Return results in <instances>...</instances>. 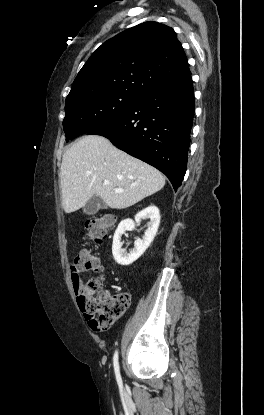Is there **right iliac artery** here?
<instances>
[{"instance_id": "82829eb1", "label": "right iliac artery", "mask_w": 264, "mask_h": 415, "mask_svg": "<svg viewBox=\"0 0 264 415\" xmlns=\"http://www.w3.org/2000/svg\"><path fill=\"white\" fill-rule=\"evenodd\" d=\"M113 364H114V371H115V375H116V380L117 383L119 384V386L122 385V379H121V375H120V368H119V363H118V351L116 350L113 356Z\"/></svg>"}]
</instances>
